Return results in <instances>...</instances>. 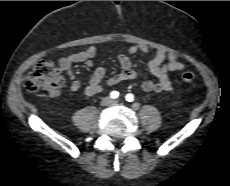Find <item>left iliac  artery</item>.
Instances as JSON below:
<instances>
[{
	"label": "left iliac artery",
	"mask_w": 230,
	"mask_h": 186,
	"mask_svg": "<svg viewBox=\"0 0 230 186\" xmlns=\"http://www.w3.org/2000/svg\"><path fill=\"white\" fill-rule=\"evenodd\" d=\"M125 99L126 101L128 102H132L134 100V95L131 94V93H128L126 96H125Z\"/></svg>",
	"instance_id": "1"
}]
</instances>
